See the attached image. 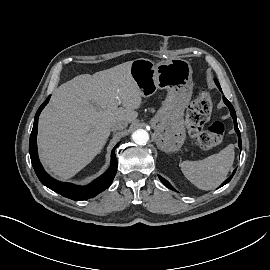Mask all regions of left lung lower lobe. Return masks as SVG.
I'll list each match as a JSON object with an SVG mask.
<instances>
[{
    "instance_id": "left-lung-lower-lobe-1",
    "label": "left lung lower lobe",
    "mask_w": 270,
    "mask_h": 270,
    "mask_svg": "<svg viewBox=\"0 0 270 270\" xmlns=\"http://www.w3.org/2000/svg\"><path fill=\"white\" fill-rule=\"evenodd\" d=\"M216 84L218 85V87L220 86L218 82H217ZM219 89L221 90V87H219ZM223 101H224V103L228 106V108L230 109V113H231V116H232V118H233L234 125H235V131H236V133L238 134V145H239V147L241 148V136H240V131H239V129H238V124H237V119H236V113H235V110H234L232 104H231L224 96H223ZM235 171H236V170H234L233 174H232L226 181H224L223 184H222L221 186L227 184V183L232 179V177H233ZM159 179H160V180L162 181V183H163L165 186H167L169 189L175 190V189L170 185V183H169L168 181H166L164 178H162L161 176H159ZM221 186H220V187H221Z\"/></svg>"
}]
</instances>
